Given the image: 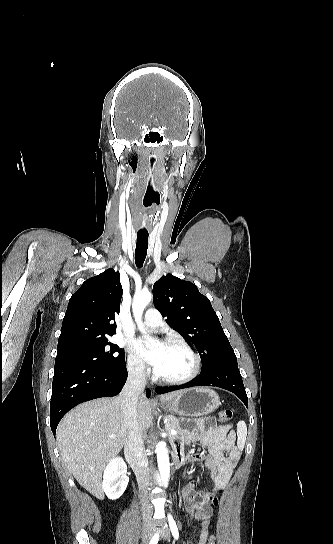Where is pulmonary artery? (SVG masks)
I'll return each mask as SVG.
<instances>
[{
    "mask_svg": "<svg viewBox=\"0 0 333 544\" xmlns=\"http://www.w3.org/2000/svg\"><path fill=\"white\" fill-rule=\"evenodd\" d=\"M143 324L146 327H149L152 329H158L162 327L163 321L159 311L154 308L148 309L146 311Z\"/></svg>",
    "mask_w": 333,
    "mask_h": 544,
    "instance_id": "pulmonary-artery-1",
    "label": "pulmonary artery"
}]
</instances>
